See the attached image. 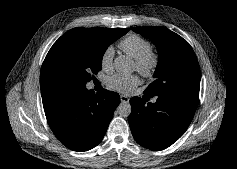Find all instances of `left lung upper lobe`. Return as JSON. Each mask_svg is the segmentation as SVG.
<instances>
[{
  "mask_svg": "<svg viewBox=\"0 0 237 169\" xmlns=\"http://www.w3.org/2000/svg\"><path fill=\"white\" fill-rule=\"evenodd\" d=\"M136 33L154 42L158 50V65L153 81L144 93L156 96L168 91L199 93L200 68L189 43L165 27H136Z\"/></svg>",
  "mask_w": 237,
  "mask_h": 169,
  "instance_id": "obj_1",
  "label": "left lung upper lobe"
}]
</instances>
